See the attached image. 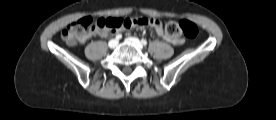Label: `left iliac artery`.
<instances>
[{
  "label": "left iliac artery",
  "mask_w": 276,
  "mask_h": 120,
  "mask_svg": "<svg viewBox=\"0 0 276 120\" xmlns=\"http://www.w3.org/2000/svg\"><path fill=\"white\" fill-rule=\"evenodd\" d=\"M141 43H142L143 45H147V41H146L145 39H142V40H141Z\"/></svg>",
  "instance_id": "44dca946"
}]
</instances>
